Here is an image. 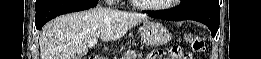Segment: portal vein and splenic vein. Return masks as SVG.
I'll return each instance as SVG.
<instances>
[{
  "label": "portal vein and splenic vein",
  "mask_w": 261,
  "mask_h": 59,
  "mask_svg": "<svg viewBox=\"0 0 261 59\" xmlns=\"http://www.w3.org/2000/svg\"><path fill=\"white\" fill-rule=\"evenodd\" d=\"M89 46H95L96 44H97V38H93V39H91L90 41H89Z\"/></svg>",
  "instance_id": "portal-vein-and-splenic-vein-1"
}]
</instances>
